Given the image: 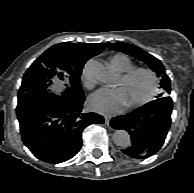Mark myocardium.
Listing matches in <instances>:
<instances>
[{"label":"myocardium","instance_id":"myocardium-1","mask_svg":"<svg viewBox=\"0 0 194 193\" xmlns=\"http://www.w3.org/2000/svg\"><path fill=\"white\" fill-rule=\"evenodd\" d=\"M139 73L146 74L149 77V80H150L149 90L139 100H137L135 102H132L130 104H127V107L129 109H134V108L140 107V106L148 103L149 101L152 100V98L156 95V92H157V88H158L157 75L150 68H147V67H133L129 71L123 73V75L121 76V80L123 82H126V81L130 80L133 76H135Z\"/></svg>","mask_w":194,"mask_h":193}]
</instances>
